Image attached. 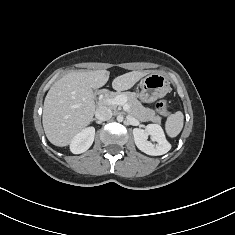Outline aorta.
Instances as JSON below:
<instances>
[{"label": "aorta", "instance_id": "762f6f07", "mask_svg": "<svg viewBox=\"0 0 235 235\" xmlns=\"http://www.w3.org/2000/svg\"><path fill=\"white\" fill-rule=\"evenodd\" d=\"M117 121L118 122H122L123 121V116L122 115H118L117 116Z\"/></svg>", "mask_w": 235, "mask_h": 235}]
</instances>
